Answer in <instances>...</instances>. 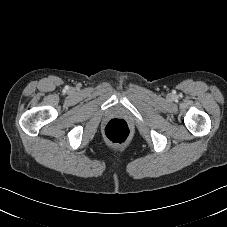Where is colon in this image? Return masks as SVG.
I'll list each match as a JSON object with an SVG mask.
<instances>
[{"instance_id":"colon-1","label":"colon","mask_w":227,"mask_h":227,"mask_svg":"<svg viewBox=\"0 0 227 227\" xmlns=\"http://www.w3.org/2000/svg\"><path fill=\"white\" fill-rule=\"evenodd\" d=\"M104 135L110 142H125L130 137V128L126 121L122 119H112L106 124Z\"/></svg>"}]
</instances>
